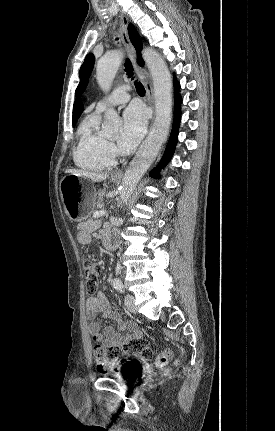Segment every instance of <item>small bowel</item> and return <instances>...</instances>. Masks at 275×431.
I'll return each mask as SVG.
<instances>
[{"mask_svg":"<svg viewBox=\"0 0 275 431\" xmlns=\"http://www.w3.org/2000/svg\"><path fill=\"white\" fill-rule=\"evenodd\" d=\"M96 227V222L87 221L78 225V241L81 244H88L91 240V232ZM98 314H102L104 318H108L115 323L114 327H105L102 331L104 335V344L108 348L124 347L127 343L133 340H140L141 332L137 329L133 322H123L120 315L111 310L105 296L98 293L96 296H91L87 299L86 317L90 321L88 330L94 336L100 332V325L94 321ZM124 331L125 334L121 332Z\"/></svg>","mask_w":275,"mask_h":431,"instance_id":"obj_1","label":"small bowel"}]
</instances>
